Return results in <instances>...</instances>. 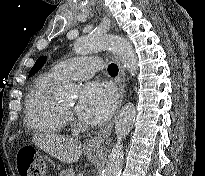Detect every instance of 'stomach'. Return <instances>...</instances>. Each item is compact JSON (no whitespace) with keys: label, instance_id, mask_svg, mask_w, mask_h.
I'll use <instances>...</instances> for the list:
<instances>
[{"label":"stomach","instance_id":"1","mask_svg":"<svg viewBox=\"0 0 205 176\" xmlns=\"http://www.w3.org/2000/svg\"><path fill=\"white\" fill-rule=\"evenodd\" d=\"M93 151H96V149H94ZM61 176H74V173L72 170H68V171L62 172Z\"/></svg>","mask_w":205,"mask_h":176}]
</instances>
